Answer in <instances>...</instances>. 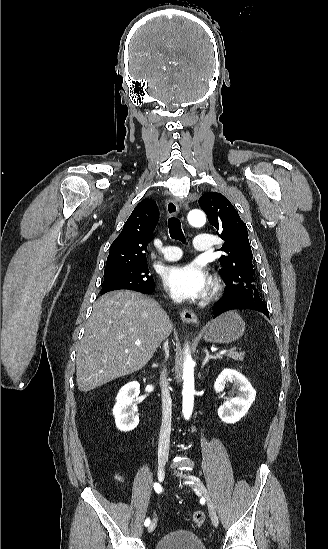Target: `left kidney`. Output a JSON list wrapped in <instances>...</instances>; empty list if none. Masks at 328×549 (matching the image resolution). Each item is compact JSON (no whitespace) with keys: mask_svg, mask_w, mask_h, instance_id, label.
Returning <instances> with one entry per match:
<instances>
[{"mask_svg":"<svg viewBox=\"0 0 328 549\" xmlns=\"http://www.w3.org/2000/svg\"><path fill=\"white\" fill-rule=\"evenodd\" d=\"M228 383H233L234 387H238L239 395L230 401H224L218 409V417L224 423H237L242 417H245L255 401L256 391L244 375L234 369H223L214 383L216 393H222Z\"/></svg>","mask_w":328,"mask_h":549,"instance_id":"5707ae66","label":"left kidney"}]
</instances>
